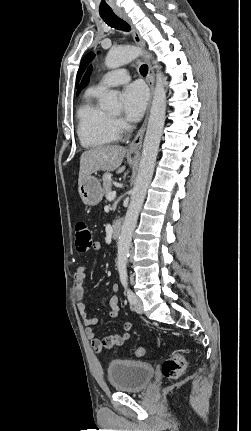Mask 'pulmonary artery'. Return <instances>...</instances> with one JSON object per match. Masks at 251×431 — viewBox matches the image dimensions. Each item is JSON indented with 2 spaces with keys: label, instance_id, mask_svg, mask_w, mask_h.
<instances>
[{
  "label": "pulmonary artery",
  "instance_id": "obj_1",
  "mask_svg": "<svg viewBox=\"0 0 251 431\" xmlns=\"http://www.w3.org/2000/svg\"><path fill=\"white\" fill-rule=\"evenodd\" d=\"M130 75L125 69H117L105 74L97 83L96 88L104 90L108 87L118 86L127 83Z\"/></svg>",
  "mask_w": 251,
  "mask_h": 431
}]
</instances>
